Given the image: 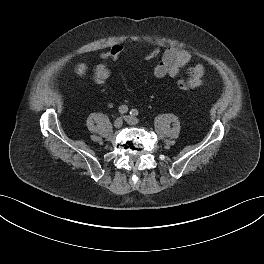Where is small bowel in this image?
<instances>
[{"label":"small bowel","instance_id":"c3829d8e","mask_svg":"<svg viewBox=\"0 0 264 264\" xmlns=\"http://www.w3.org/2000/svg\"><path fill=\"white\" fill-rule=\"evenodd\" d=\"M190 51L175 46H168L162 53L160 61L153 69L156 78H175L181 69L191 60ZM87 72V64L79 62L75 67V73L79 77H84ZM205 68L202 64H196L188 69L189 81L194 88L203 84ZM92 80L99 85H108L110 82V71L104 62H96L92 74Z\"/></svg>","mask_w":264,"mask_h":264}]
</instances>
